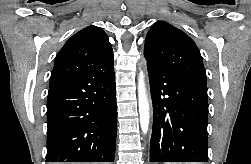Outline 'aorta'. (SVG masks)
I'll return each mask as SVG.
<instances>
[{
	"label": "aorta",
	"instance_id": "obj_1",
	"mask_svg": "<svg viewBox=\"0 0 251 164\" xmlns=\"http://www.w3.org/2000/svg\"><path fill=\"white\" fill-rule=\"evenodd\" d=\"M138 106L140 115V126L144 134L147 133L149 128V102L146 94L144 74L140 72L138 78Z\"/></svg>",
	"mask_w": 251,
	"mask_h": 164
}]
</instances>
